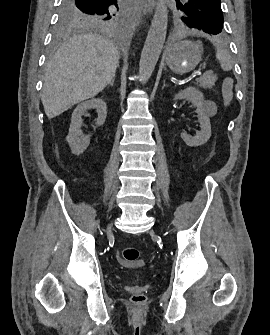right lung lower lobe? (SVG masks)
<instances>
[{
  "label": "right lung lower lobe",
  "instance_id": "obj_1",
  "mask_svg": "<svg viewBox=\"0 0 270 335\" xmlns=\"http://www.w3.org/2000/svg\"><path fill=\"white\" fill-rule=\"evenodd\" d=\"M119 2H123V1H119V0H118V3H119ZM123 3H125V2H123Z\"/></svg>",
  "mask_w": 270,
  "mask_h": 335
}]
</instances>
